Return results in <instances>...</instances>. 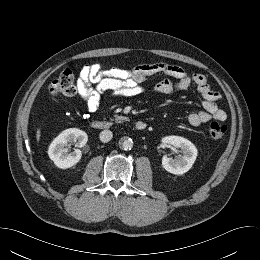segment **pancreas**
I'll list each match as a JSON object with an SVG mask.
<instances>
[{
	"mask_svg": "<svg viewBox=\"0 0 260 260\" xmlns=\"http://www.w3.org/2000/svg\"><path fill=\"white\" fill-rule=\"evenodd\" d=\"M114 117H115V119H114L115 122H118V123H121V122L128 120V118L124 117V116L115 115Z\"/></svg>",
	"mask_w": 260,
	"mask_h": 260,
	"instance_id": "1",
	"label": "pancreas"
}]
</instances>
